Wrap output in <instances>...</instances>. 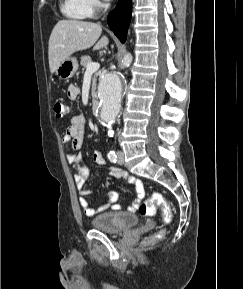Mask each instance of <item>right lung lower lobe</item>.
<instances>
[{
  "mask_svg": "<svg viewBox=\"0 0 243 289\" xmlns=\"http://www.w3.org/2000/svg\"><path fill=\"white\" fill-rule=\"evenodd\" d=\"M132 0H119L116 8L108 15L107 21L114 34L122 43L126 41L131 19Z\"/></svg>",
  "mask_w": 243,
  "mask_h": 289,
  "instance_id": "right-lung-lower-lobe-1",
  "label": "right lung lower lobe"
}]
</instances>
